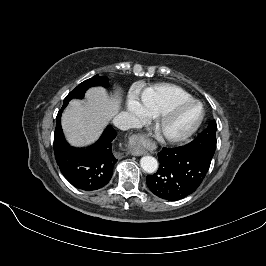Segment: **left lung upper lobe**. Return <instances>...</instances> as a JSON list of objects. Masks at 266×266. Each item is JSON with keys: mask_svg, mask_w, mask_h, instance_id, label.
<instances>
[{"mask_svg": "<svg viewBox=\"0 0 266 266\" xmlns=\"http://www.w3.org/2000/svg\"><path fill=\"white\" fill-rule=\"evenodd\" d=\"M217 125L213 120L195 140L188 144L189 148L199 153L206 161L211 163L216 148Z\"/></svg>", "mask_w": 266, "mask_h": 266, "instance_id": "left-lung-upper-lobe-1", "label": "left lung upper lobe"}]
</instances>
